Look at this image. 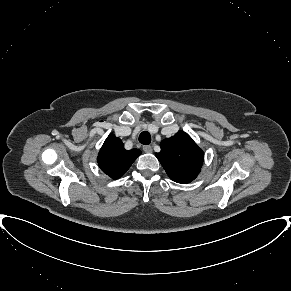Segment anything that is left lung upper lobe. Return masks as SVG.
<instances>
[{
    "label": "left lung upper lobe",
    "instance_id": "5c2ea615",
    "mask_svg": "<svg viewBox=\"0 0 291 291\" xmlns=\"http://www.w3.org/2000/svg\"><path fill=\"white\" fill-rule=\"evenodd\" d=\"M160 147L156 157L171 180L185 184L197 177L204 154L187 133L178 131L173 137L163 140Z\"/></svg>",
    "mask_w": 291,
    "mask_h": 291
}]
</instances>
